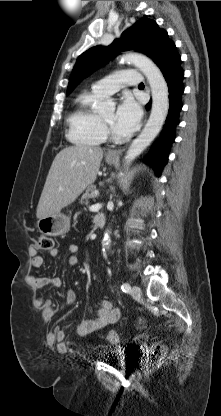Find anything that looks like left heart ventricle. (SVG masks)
Masks as SVG:
<instances>
[{
    "label": "left heart ventricle",
    "instance_id": "b2bd125f",
    "mask_svg": "<svg viewBox=\"0 0 221 416\" xmlns=\"http://www.w3.org/2000/svg\"><path fill=\"white\" fill-rule=\"evenodd\" d=\"M102 118H103V119H104L107 123H109V125L111 126V128H112L113 132H114L116 135H120V134L116 131V129L114 128V111H110V112H108V113L104 114V115L102 116Z\"/></svg>",
    "mask_w": 221,
    "mask_h": 416
}]
</instances>
